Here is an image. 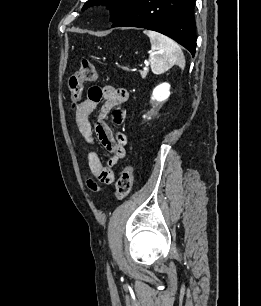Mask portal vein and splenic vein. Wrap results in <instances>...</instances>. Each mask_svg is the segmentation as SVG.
<instances>
[{"label": "portal vein and splenic vein", "mask_w": 261, "mask_h": 306, "mask_svg": "<svg viewBox=\"0 0 261 306\" xmlns=\"http://www.w3.org/2000/svg\"><path fill=\"white\" fill-rule=\"evenodd\" d=\"M143 69H144V71H147L148 70V65H145Z\"/></svg>", "instance_id": "1"}]
</instances>
